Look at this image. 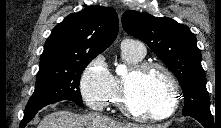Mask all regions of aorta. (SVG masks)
I'll list each match as a JSON object with an SVG mask.
<instances>
[{"label": "aorta", "mask_w": 221, "mask_h": 128, "mask_svg": "<svg viewBox=\"0 0 221 128\" xmlns=\"http://www.w3.org/2000/svg\"><path fill=\"white\" fill-rule=\"evenodd\" d=\"M116 73L118 75H125L127 73V68L125 65H117Z\"/></svg>", "instance_id": "762f6f07"}]
</instances>
